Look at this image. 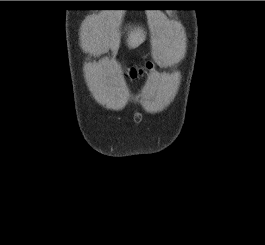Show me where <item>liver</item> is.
I'll use <instances>...</instances> for the list:
<instances>
[{"label":"liver","mask_w":265,"mask_h":245,"mask_svg":"<svg viewBox=\"0 0 265 245\" xmlns=\"http://www.w3.org/2000/svg\"><path fill=\"white\" fill-rule=\"evenodd\" d=\"M145 40V32L141 28H134L128 34L127 43L130 48H136ZM119 35L108 30L101 23L96 24L86 37V47L91 52L104 53L111 49L116 55L119 49Z\"/></svg>","instance_id":"liver-1"}]
</instances>
